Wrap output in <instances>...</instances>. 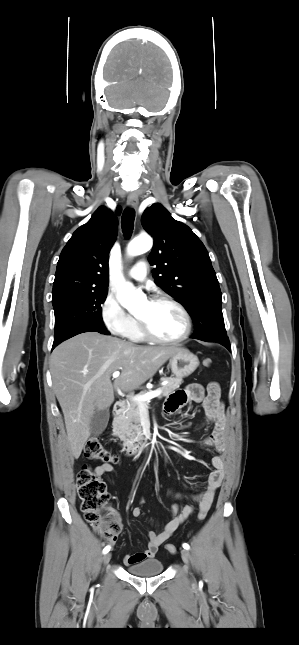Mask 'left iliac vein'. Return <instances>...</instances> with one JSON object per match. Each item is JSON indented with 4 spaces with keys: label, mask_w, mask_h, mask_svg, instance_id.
Returning a JSON list of instances; mask_svg holds the SVG:
<instances>
[{
    "label": "left iliac vein",
    "mask_w": 299,
    "mask_h": 645,
    "mask_svg": "<svg viewBox=\"0 0 299 645\" xmlns=\"http://www.w3.org/2000/svg\"><path fill=\"white\" fill-rule=\"evenodd\" d=\"M181 557H182V560L184 561V563L186 564V568L188 569L189 564H190V560H191L190 553L188 552V550H186V549L181 550Z\"/></svg>",
    "instance_id": "4c4485c4"
}]
</instances>
